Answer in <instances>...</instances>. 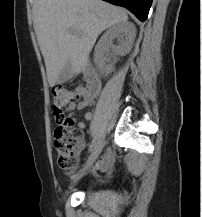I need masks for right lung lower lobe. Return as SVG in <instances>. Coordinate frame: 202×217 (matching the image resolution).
Segmentation results:
<instances>
[{"mask_svg": "<svg viewBox=\"0 0 202 217\" xmlns=\"http://www.w3.org/2000/svg\"><path fill=\"white\" fill-rule=\"evenodd\" d=\"M111 4L122 6L132 12L140 21H145L150 10L152 0H104Z\"/></svg>", "mask_w": 202, "mask_h": 217, "instance_id": "98d812e1", "label": "right lung lower lobe"}]
</instances>
